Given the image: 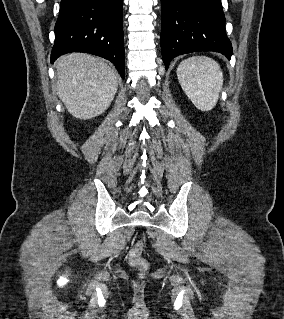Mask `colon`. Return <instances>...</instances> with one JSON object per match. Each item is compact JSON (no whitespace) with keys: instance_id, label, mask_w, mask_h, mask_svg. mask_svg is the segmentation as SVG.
<instances>
[{"instance_id":"obj_1","label":"colon","mask_w":284,"mask_h":319,"mask_svg":"<svg viewBox=\"0 0 284 319\" xmlns=\"http://www.w3.org/2000/svg\"><path fill=\"white\" fill-rule=\"evenodd\" d=\"M145 245L143 242L136 243L129 252V262L141 272H146L149 268L148 262L143 257Z\"/></svg>"}]
</instances>
